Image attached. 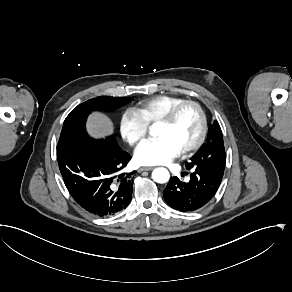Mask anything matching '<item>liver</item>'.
<instances>
[{
    "label": "liver",
    "mask_w": 292,
    "mask_h": 292,
    "mask_svg": "<svg viewBox=\"0 0 292 292\" xmlns=\"http://www.w3.org/2000/svg\"><path fill=\"white\" fill-rule=\"evenodd\" d=\"M87 132L94 138H101L113 133V123L103 113L93 112L86 123Z\"/></svg>",
    "instance_id": "obj_1"
}]
</instances>
